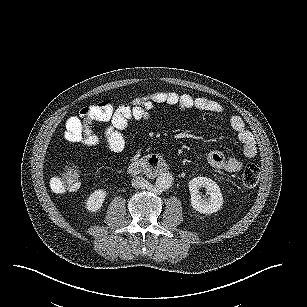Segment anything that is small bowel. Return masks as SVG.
<instances>
[{
    "label": "small bowel",
    "instance_id": "small-bowel-1",
    "mask_svg": "<svg viewBox=\"0 0 307 307\" xmlns=\"http://www.w3.org/2000/svg\"><path fill=\"white\" fill-rule=\"evenodd\" d=\"M156 104H165L181 111L198 109L213 114H222L223 106L206 97H194L190 94H180L174 91H159L145 96L132 99L130 104H123L116 109L108 106L99 110L96 105H91L96 120L108 122L104 138L106 146L113 152L123 150L125 146L124 131L131 121H147L152 117ZM229 124L236 132L239 141L243 146V154L246 158L252 159L257 154L256 141L250 130L247 129L244 121L238 115L229 117ZM64 137L67 141L77 143L81 141V122L79 117L71 116L66 122ZM211 167L228 172H238L242 169L243 163L235 157H226L221 151L212 150L207 155Z\"/></svg>",
    "mask_w": 307,
    "mask_h": 307
}]
</instances>
